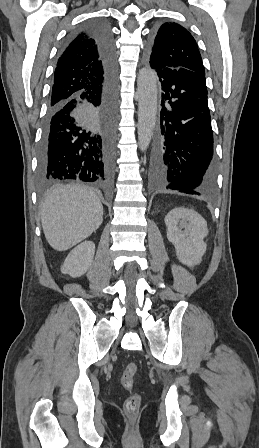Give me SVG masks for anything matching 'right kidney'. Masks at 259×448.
<instances>
[{
    "mask_svg": "<svg viewBox=\"0 0 259 448\" xmlns=\"http://www.w3.org/2000/svg\"><path fill=\"white\" fill-rule=\"evenodd\" d=\"M94 252L95 244L93 242H82L76 246L67 256L61 268L62 274H69L72 278H79L86 274L92 266Z\"/></svg>",
    "mask_w": 259,
    "mask_h": 448,
    "instance_id": "obj_1",
    "label": "right kidney"
}]
</instances>
